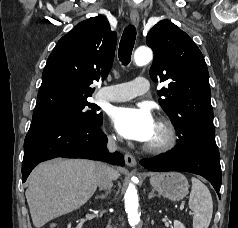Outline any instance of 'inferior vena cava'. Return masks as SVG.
<instances>
[{
  "instance_id": "602c4592",
  "label": "inferior vena cava",
  "mask_w": 238,
  "mask_h": 228,
  "mask_svg": "<svg viewBox=\"0 0 238 228\" xmlns=\"http://www.w3.org/2000/svg\"><path fill=\"white\" fill-rule=\"evenodd\" d=\"M107 148L109 151H114L116 149V137L110 136L108 137ZM112 168H110L106 164H101V170L98 177V185L100 189L110 190L112 187ZM106 228H112L110 224L107 225Z\"/></svg>"
}]
</instances>
